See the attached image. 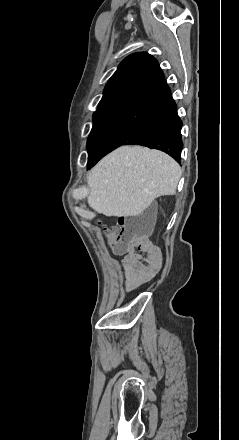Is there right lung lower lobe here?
<instances>
[{
    "label": "right lung lower lobe",
    "mask_w": 239,
    "mask_h": 440,
    "mask_svg": "<svg viewBox=\"0 0 239 440\" xmlns=\"http://www.w3.org/2000/svg\"><path fill=\"white\" fill-rule=\"evenodd\" d=\"M182 121L163 79L150 91L132 99L89 155L87 169L121 145L135 144L164 151L180 162Z\"/></svg>",
    "instance_id": "1"
}]
</instances>
